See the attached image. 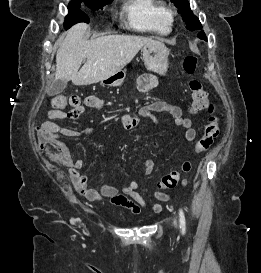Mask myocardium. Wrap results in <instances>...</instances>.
<instances>
[{
  "label": "myocardium",
  "mask_w": 261,
  "mask_h": 273,
  "mask_svg": "<svg viewBox=\"0 0 261 273\" xmlns=\"http://www.w3.org/2000/svg\"><path fill=\"white\" fill-rule=\"evenodd\" d=\"M174 15H175V13L173 11H168L167 18L170 23L173 21Z\"/></svg>",
  "instance_id": "1"
}]
</instances>
